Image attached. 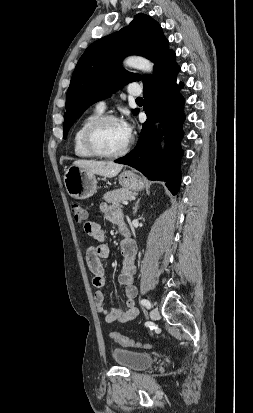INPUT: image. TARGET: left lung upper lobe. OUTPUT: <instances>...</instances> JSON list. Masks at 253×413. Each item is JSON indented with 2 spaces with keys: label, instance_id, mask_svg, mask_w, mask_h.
I'll use <instances>...</instances> for the list:
<instances>
[{
  "label": "left lung upper lobe",
  "instance_id": "1",
  "mask_svg": "<svg viewBox=\"0 0 253 413\" xmlns=\"http://www.w3.org/2000/svg\"><path fill=\"white\" fill-rule=\"evenodd\" d=\"M168 40L161 26L150 16L137 14L129 26L92 43L80 57L66 95L64 138L82 113L93 103L105 99L128 82L140 81L139 74L121 66L128 55H140L154 63V72L170 55ZM152 76H143V84ZM138 110H133L137 114Z\"/></svg>",
  "mask_w": 253,
  "mask_h": 413
}]
</instances>
